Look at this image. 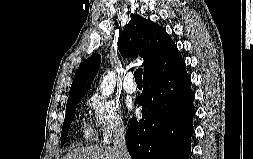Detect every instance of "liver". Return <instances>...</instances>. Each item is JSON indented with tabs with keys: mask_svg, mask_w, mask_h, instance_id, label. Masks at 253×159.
Listing matches in <instances>:
<instances>
[{
	"mask_svg": "<svg viewBox=\"0 0 253 159\" xmlns=\"http://www.w3.org/2000/svg\"><path fill=\"white\" fill-rule=\"evenodd\" d=\"M62 159H118L113 147L86 146L74 149Z\"/></svg>",
	"mask_w": 253,
	"mask_h": 159,
	"instance_id": "liver-1",
	"label": "liver"
}]
</instances>
